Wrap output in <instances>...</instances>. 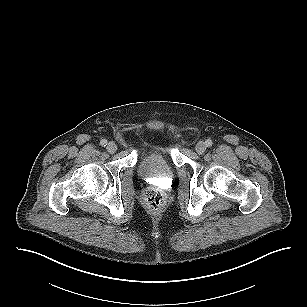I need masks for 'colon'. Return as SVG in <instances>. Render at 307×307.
Listing matches in <instances>:
<instances>
[{
    "label": "colon",
    "mask_w": 307,
    "mask_h": 307,
    "mask_svg": "<svg viewBox=\"0 0 307 307\" xmlns=\"http://www.w3.org/2000/svg\"><path fill=\"white\" fill-rule=\"evenodd\" d=\"M143 200L150 211L157 212L165 204V195L159 188L150 187L144 191Z\"/></svg>",
    "instance_id": "5ec220e1"
}]
</instances>
